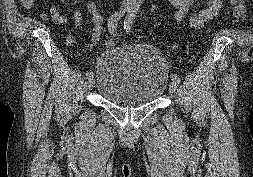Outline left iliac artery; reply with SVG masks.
Segmentation results:
<instances>
[{
	"label": "left iliac artery",
	"instance_id": "44dca946",
	"mask_svg": "<svg viewBox=\"0 0 253 177\" xmlns=\"http://www.w3.org/2000/svg\"><path fill=\"white\" fill-rule=\"evenodd\" d=\"M137 12H138V8H132L129 10V13L125 18L124 29L127 33H130L132 31L133 22H134L136 15H137ZM171 79L173 81H175L176 83H180V78L177 74H172Z\"/></svg>",
	"mask_w": 253,
	"mask_h": 177
}]
</instances>
